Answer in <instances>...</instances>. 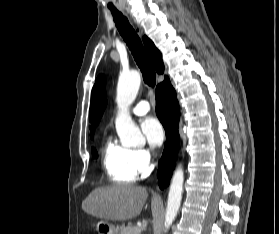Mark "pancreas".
Instances as JSON below:
<instances>
[{"instance_id":"obj_1","label":"pancreas","mask_w":279,"mask_h":234,"mask_svg":"<svg viewBox=\"0 0 279 234\" xmlns=\"http://www.w3.org/2000/svg\"><path fill=\"white\" fill-rule=\"evenodd\" d=\"M120 234H140V230L136 226L128 225L120 231Z\"/></svg>"}]
</instances>
